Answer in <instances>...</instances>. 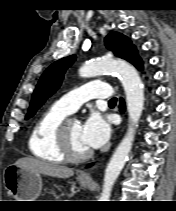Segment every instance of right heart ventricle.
<instances>
[{"label":"right heart ventricle","instance_id":"right-heart-ventricle-1","mask_svg":"<svg viewBox=\"0 0 176 211\" xmlns=\"http://www.w3.org/2000/svg\"><path fill=\"white\" fill-rule=\"evenodd\" d=\"M69 114L58 103H54L39 116L28 141L34 157L57 164L66 162L58 147L57 128Z\"/></svg>","mask_w":176,"mask_h":211}]
</instances>
